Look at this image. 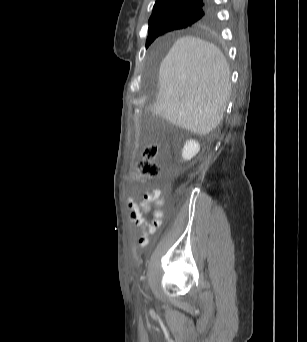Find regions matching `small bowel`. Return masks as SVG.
<instances>
[{
  "mask_svg": "<svg viewBox=\"0 0 307 342\" xmlns=\"http://www.w3.org/2000/svg\"><path fill=\"white\" fill-rule=\"evenodd\" d=\"M152 203L154 204L153 221L148 223L144 218V214L151 211ZM163 205L164 199L159 189H152L147 192L144 199L140 202L135 201L133 198L129 199L130 222L132 225L140 226L142 228V233L139 238V245L141 247L147 245L149 236L155 233L156 229L161 225Z\"/></svg>",
  "mask_w": 307,
  "mask_h": 342,
  "instance_id": "1",
  "label": "small bowel"
}]
</instances>
